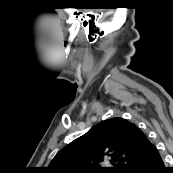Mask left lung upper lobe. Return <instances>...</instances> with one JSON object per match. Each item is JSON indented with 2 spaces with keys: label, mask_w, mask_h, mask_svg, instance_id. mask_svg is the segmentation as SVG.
Instances as JSON below:
<instances>
[{
  "label": "left lung upper lobe",
  "mask_w": 173,
  "mask_h": 173,
  "mask_svg": "<svg viewBox=\"0 0 173 173\" xmlns=\"http://www.w3.org/2000/svg\"><path fill=\"white\" fill-rule=\"evenodd\" d=\"M148 145V138L134 123L112 118L58 152L49 169L54 173H129ZM106 156L113 167L100 166Z\"/></svg>",
  "instance_id": "5c2ea615"
}]
</instances>
